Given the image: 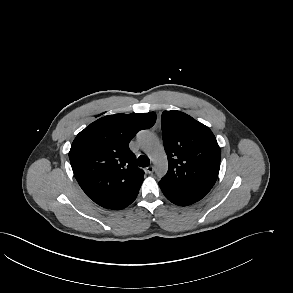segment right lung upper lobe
<instances>
[{
    "mask_svg": "<svg viewBox=\"0 0 293 293\" xmlns=\"http://www.w3.org/2000/svg\"><path fill=\"white\" fill-rule=\"evenodd\" d=\"M155 121L154 112L108 115L76 136L70 163L80 187L95 203L120 210L136 199L144 172L137 167L129 142Z\"/></svg>",
    "mask_w": 293,
    "mask_h": 293,
    "instance_id": "obj_1",
    "label": "right lung upper lobe"
}]
</instances>
